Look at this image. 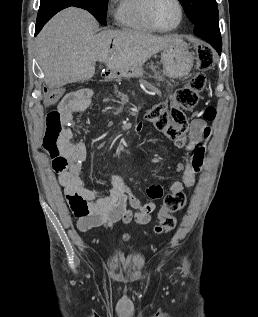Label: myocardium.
<instances>
[{"label": "myocardium", "mask_w": 258, "mask_h": 317, "mask_svg": "<svg viewBox=\"0 0 258 317\" xmlns=\"http://www.w3.org/2000/svg\"><path fill=\"white\" fill-rule=\"evenodd\" d=\"M158 0H150L148 6H147V9H146V17H147V20L148 22L157 30V31H160V32H171L173 30H175L179 25L180 23L182 22V19H183V6H182V2L181 0H175L177 5H178V9H179V16H178V20L177 22L172 26V27H169V28H162L160 27L156 21L154 20L153 18V7L155 5V3L157 2Z\"/></svg>", "instance_id": "1"}]
</instances>
